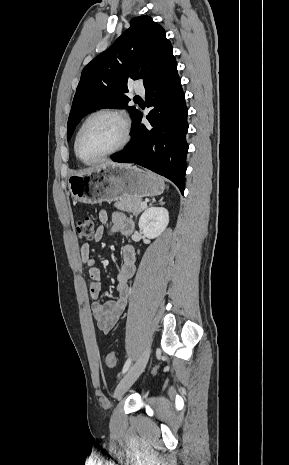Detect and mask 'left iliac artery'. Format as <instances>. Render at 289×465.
<instances>
[{
	"mask_svg": "<svg viewBox=\"0 0 289 465\" xmlns=\"http://www.w3.org/2000/svg\"><path fill=\"white\" fill-rule=\"evenodd\" d=\"M131 365V358H128L123 366L122 374H125Z\"/></svg>",
	"mask_w": 289,
	"mask_h": 465,
	"instance_id": "left-iliac-artery-1",
	"label": "left iliac artery"
}]
</instances>
